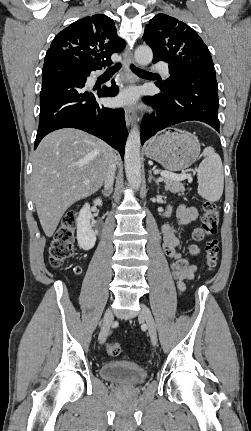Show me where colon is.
I'll return each instance as SVG.
<instances>
[{"label":"colon","mask_w":251,"mask_h":431,"mask_svg":"<svg viewBox=\"0 0 251 431\" xmlns=\"http://www.w3.org/2000/svg\"><path fill=\"white\" fill-rule=\"evenodd\" d=\"M202 210V230L208 236H213L217 232L219 224L218 207L212 201H204L202 203ZM76 220L77 212L74 210L68 211L63 216L49 247V263L51 267L59 268L73 255ZM219 253L218 240L215 238L207 240L205 243V258L209 270H213L216 267ZM105 348L109 355L115 356L120 353V345L115 341H108Z\"/></svg>","instance_id":"obj_1"}]
</instances>
